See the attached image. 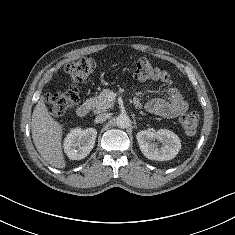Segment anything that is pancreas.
Here are the masks:
<instances>
[{
	"mask_svg": "<svg viewBox=\"0 0 235 235\" xmlns=\"http://www.w3.org/2000/svg\"><path fill=\"white\" fill-rule=\"evenodd\" d=\"M109 94L110 90L104 89L98 96L88 100L95 113H100L113 107V102L109 100Z\"/></svg>",
	"mask_w": 235,
	"mask_h": 235,
	"instance_id": "1",
	"label": "pancreas"
}]
</instances>
